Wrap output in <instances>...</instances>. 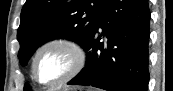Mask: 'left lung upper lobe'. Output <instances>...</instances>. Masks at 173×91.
Wrapping results in <instances>:
<instances>
[{
	"instance_id": "1",
	"label": "left lung upper lobe",
	"mask_w": 173,
	"mask_h": 91,
	"mask_svg": "<svg viewBox=\"0 0 173 91\" xmlns=\"http://www.w3.org/2000/svg\"><path fill=\"white\" fill-rule=\"evenodd\" d=\"M107 0H26L17 31L20 63L25 66L39 45L55 39L74 40L84 49ZM24 90H29L26 84Z\"/></svg>"
}]
</instances>
